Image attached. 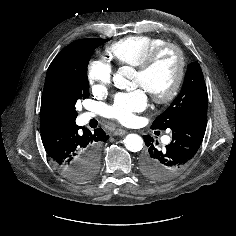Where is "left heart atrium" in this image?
<instances>
[{"instance_id": "obj_1", "label": "left heart atrium", "mask_w": 236, "mask_h": 236, "mask_svg": "<svg viewBox=\"0 0 236 236\" xmlns=\"http://www.w3.org/2000/svg\"><path fill=\"white\" fill-rule=\"evenodd\" d=\"M148 105L147 93L144 89H138L128 93L118 94L113 104L108 109L111 118L121 123H131L135 113L143 111Z\"/></svg>"}]
</instances>
